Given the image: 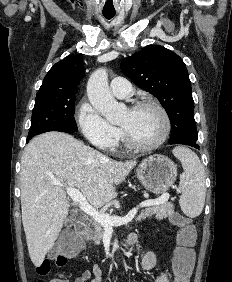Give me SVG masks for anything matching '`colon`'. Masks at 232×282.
<instances>
[{
	"label": "colon",
	"mask_w": 232,
	"mask_h": 282,
	"mask_svg": "<svg viewBox=\"0 0 232 282\" xmlns=\"http://www.w3.org/2000/svg\"><path fill=\"white\" fill-rule=\"evenodd\" d=\"M173 223L178 227L177 243L173 255L174 282H189V276L193 264L192 247L195 243L196 232L190 220L174 215ZM82 247L81 240L71 231H64L58 239L51 259H44L36 267L38 279L36 282H43L42 277L47 276L51 270V262L61 267L66 265L69 259L73 258Z\"/></svg>",
	"instance_id": "1"
}]
</instances>
